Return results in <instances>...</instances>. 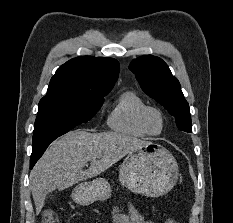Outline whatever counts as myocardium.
<instances>
[{
	"label": "myocardium",
	"instance_id": "f54148a6",
	"mask_svg": "<svg viewBox=\"0 0 233 223\" xmlns=\"http://www.w3.org/2000/svg\"><path fill=\"white\" fill-rule=\"evenodd\" d=\"M151 112H158L164 122V127L163 130L159 133H153L148 125V116ZM140 125L142 127V129L144 130V132L149 135V136H160L162 134H164V132L166 131L167 128V116L166 113L164 112L163 109H161L160 107L157 106H146L140 113Z\"/></svg>",
	"mask_w": 233,
	"mask_h": 223
}]
</instances>
